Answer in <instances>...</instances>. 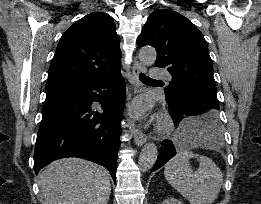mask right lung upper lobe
I'll use <instances>...</instances> for the list:
<instances>
[{
    "label": "right lung upper lobe",
    "mask_w": 261,
    "mask_h": 204,
    "mask_svg": "<svg viewBox=\"0 0 261 204\" xmlns=\"http://www.w3.org/2000/svg\"><path fill=\"white\" fill-rule=\"evenodd\" d=\"M120 39L111 16L93 12L60 38L49 67L46 94L104 78L120 69Z\"/></svg>",
    "instance_id": "right-lung-upper-lobe-1"
}]
</instances>
